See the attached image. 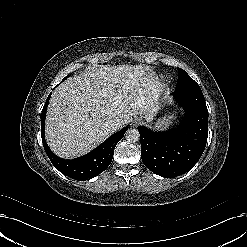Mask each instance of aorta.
<instances>
[{
    "label": "aorta",
    "mask_w": 247,
    "mask_h": 247,
    "mask_svg": "<svg viewBox=\"0 0 247 247\" xmlns=\"http://www.w3.org/2000/svg\"><path fill=\"white\" fill-rule=\"evenodd\" d=\"M140 134L137 129H129L125 134V138L128 142L135 143L139 140Z\"/></svg>",
    "instance_id": "762f6f07"
}]
</instances>
